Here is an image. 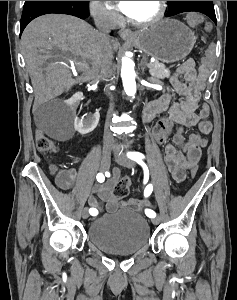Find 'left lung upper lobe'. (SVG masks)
Here are the masks:
<instances>
[{"mask_svg":"<svg viewBox=\"0 0 237 300\" xmlns=\"http://www.w3.org/2000/svg\"><path fill=\"white\" fill-rule=\"evenodd\" d=\"M168 11L167 16L176 15L178 10L196 7V6H211L213 7V1H167Z\"/></svg>","mask_w":237,"mask_h":300,"instance_id":"1","label":"left lung upper lobe"}]
</instances>
